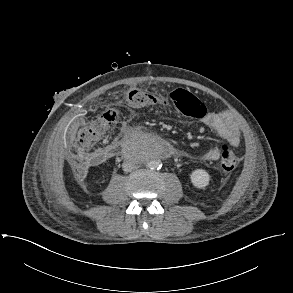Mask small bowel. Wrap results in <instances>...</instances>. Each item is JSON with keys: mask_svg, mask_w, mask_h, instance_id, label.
Segmentation results:
<instances>
[{"mask_svg": "<svg viewBox=\"0 0 293 293\" xmlns=\"http://www.w3.org/2000/svg\"><path fill=\"white\" fill-rule=\"evenodd\" d=\"M194 115L201 119L202 124L224 139L230 146L236 147L240 143L238 126L231 118L207 112L205 105L198 99ZM199 157L204 161H216L220 158V151L213 146L201 153Z\"/></svg>", "mask_w": 293, "mask_h": 293, "instance_id": "c3829d8e", "label": "small bowel"}]
</instances>
